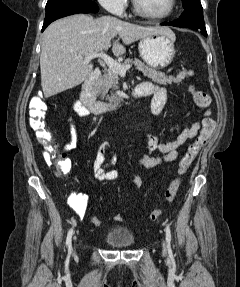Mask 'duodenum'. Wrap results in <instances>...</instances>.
<instances>
[{
  "instance_id": "obj_1",
  "label": "duodenum",
  "mask_w": 240,
  "mask_h": 287,
  "mask_svg": "<svg viewBox=\"0 0 240 287\" xmlns=\"http://www.w3.org/2000/svg\"><path fill=\"white\" fill-rule=\"evenodd\" d=\"M101 75L100 69H95L81 84V102L93 114H101L118 108L121 102H107L97 99L94 85ZM130 97H143V94L135 89Z\"/></svg>"
}]
</instances>
